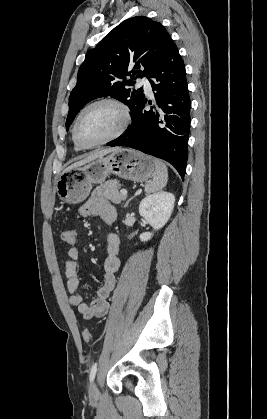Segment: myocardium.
<instances>
[{"label":"myocardium","instance_id":"f54148a6","mask_svg":"<svg viewBox=\"0 0 267 419\" xmlns=\"http://www.w3.org/2000/svg\"><path fill=\"white\" fill-rule=\"evenodd\" d=\"M100 104H110L114 107H116L118 109V111L120 112L121 115V122L119 124V126L116 128V130L111 133L109 136H107L106 138L94 143V144H84L80 141L79 137H78V126H79V122L83 116V114L90 109L91 107H94L96 105H100ZM131 121V112L129 107L121 100L117 99V98H113V97H102V98H98L96 100L91 101L90 103H88L87 105H85L81 111L78 113L75 122H74V126H73V139L76 142V144L82 148V149H92V148H96L99 147L101 145H104L106 143H109L115 139H117L119 136H121L125 130L127 129V127L129 126Z\"/></svg>","mask_w":267,"mask_h":419}]
</instances>
